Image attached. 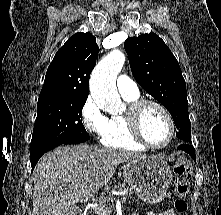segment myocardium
Masks as SVG:
<instances>
[{"label": "myocardium", "instance_id": "obj_1", "mask_svg": "<svg viewBox=\"0 0 221 215\" xmlns=\"http://www.w3.org/2000/svg\"><path fill=\"white\" fill-rule=\"evenodd\" d=\"M147 105H153L160 109L169 122L170 132L167 140L162 145H154L150 143L144 136L141 128V116L142 111ZM126 118L130 126V131L133 137L143 146L149 149L160 150L166 148L173 140L176 125L174 118L170 111L161 102L149 99V98H139L131 103H129L128 109L126 111Z\"/></svg>", "mask_w": 221, "mask_h": 215}]
</instances>
